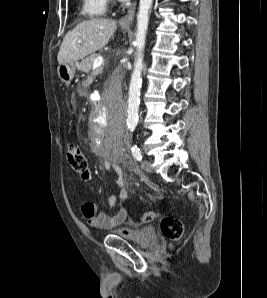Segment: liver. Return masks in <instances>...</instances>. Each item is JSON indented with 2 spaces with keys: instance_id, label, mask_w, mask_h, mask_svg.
Wrapping results in <instances>:
<instances>
[{
  "instance_id": "6515ba94",
  "label": "liver",
  "mask_w": 267,
  "mask_h": 298,
  "mask_svg": "<svg viewBox=\"0 0 267 298\" xmlns=\"http://www.w3.org/2000/svg\"><path fill=\"white\" fill-rule=\"evenodd\" d=\"M116 29L117 22L112 19L94 18L79 23L65 35L57 55L58 63L76 62L103 48Z\"/></svg>"
}]
</instances>
